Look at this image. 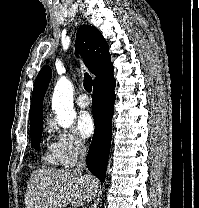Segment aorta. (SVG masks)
<instances>
[{
  "mask_svg": "<svg viewBox=\"0 0 199 208\" xmlns=\"http://www.w3.org/2000/svg\"><path fill=\"white\" fill-rule=\"evenodd\" d=\"M52 109L55 111L57 122L61 127L69 128L73 124L76 116L73 109V87L65 77L60 78L55 86Z\"/></svg>",
  "mask_w": 199,
  "mask_h": 208,
  "instance_id": "aorta-1",
  "label": "aorta"
}]
</instances>
